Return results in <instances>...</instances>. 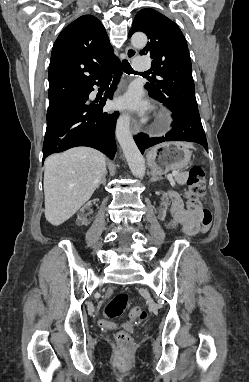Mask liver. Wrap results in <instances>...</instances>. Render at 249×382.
I'll return each mask as SVG.
<instances>
[{
    "label": "liver",
    "instance_id": "obj_1",
    "mask_svg": "<svg viewBox=\"0 0 249 382\" xmlns=\"http://www.w3.org/2000/svg\"><path fill=\"white\" fill-rule=\"evenodd\" d=\"M45 217L54 226L71 218L87 202L106 172V157L89 147H75L44 163Z\"/></svg>",
    "mask_w": 249,
    "mask_h": 382
}]
</instances>
